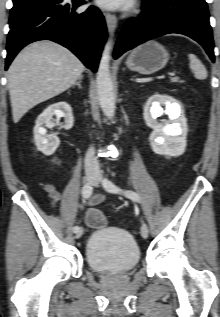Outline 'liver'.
I'll list each match as a JSON object with an SVG mask.
<instances>
[{"instance_id":"obj_1","label":"liver","mask_w":220,"mask_h":317,"mask_svg":"<svg viewBox=\"0 0 220 317\" xmlns=\"http://www.w3.org/2000/svg\"><path fill=\"white\" fill-rule=\"evenodd\" d=\"M84 69L83 63L58 43L38 41L25 47L8 69L14 123L35 105L70 88Z\"/></svg>"}]
</instances>
